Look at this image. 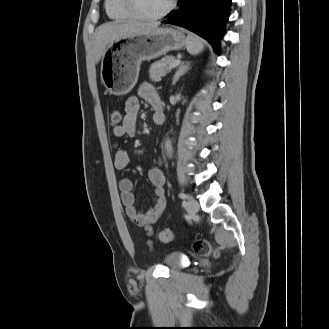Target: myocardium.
Listing matches in <instances>:
<instances>
[{"instance_id": "f54148a6", "label": "myocardium", "mask_w": 329, "mask_h": 329, "mask_svg": "<svg viewBox=\"0 0 329 329\" xmlns=\"http://www.w3.org/2000/svg\"><path fill=\"white\" fill-rule=\"evenodd\" d=\"M123 8L134 18L144 22H155L169 15L175 7V0H170L167 7L156 15H145L137 7L136 0H121Z\"/></svg>"}]
</instances>
